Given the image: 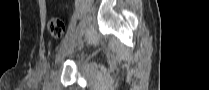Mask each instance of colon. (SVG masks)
Listing matches in <instances>:
<instances>
[{
    "mask_svg": "<svg viewBox=\"0 0 209 90\" xmlns=\"http://www.w3.org/2000/svg\"><path fill=\"white\" fill-rule=\"evenodd\" d=\"M49 32L54 39H61L65 34V24L59 18H52L48 24Z\"/></svg>",
    "mask_w": 209,
    "mask_h": 90,
    "instance_id": "1",
    "label": "colon"
}]
</instances>
